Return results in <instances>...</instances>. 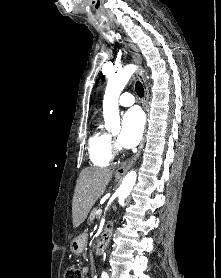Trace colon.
Segmentation results:
<instances>
[{"label":"colon","mask_w":221,"mask_h":278,"mask_svg":"<svg viewBox=\"0 0 221 278\" xmlns=\"http://www.w3.org/2000/svg\"><path fill=\"white\" fill-rule=\"evenodd\" d=\"M65 278H84V275L80 268L70 266L66 269Z\"/></svg>","instance_id":"5ec220e1"}]
</instances>
